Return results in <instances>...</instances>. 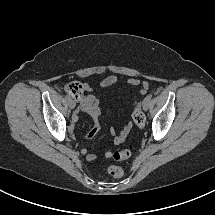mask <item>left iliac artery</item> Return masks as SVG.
Instances as JSON below:
<instances>
[{"label": "left iliac artery", "instance_id": "1", "mask_svg": "<svg viewBox=\"0 0 215 215\" xmlns=\"http://www.w3.org/2000/svg\"><path fill=\"white\" fill-rule=\"evenodd\" d=\"M152 99V94H149L146 96V98H143L141 101H140V104L141 105H144L147 101H150Z\"/></svg>", "mask_w": 215, "mask_h": 215}]
</instances>
